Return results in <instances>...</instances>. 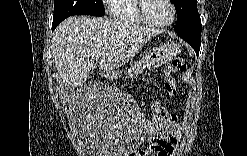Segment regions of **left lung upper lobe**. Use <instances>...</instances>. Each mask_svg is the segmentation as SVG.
<instances>
[{
    "mask_svg": "<svg viewBox=\"0 0 247 156\" xmlns=\"http://www.w3.org/2000/svg\"><path fill=\"white\" fill-rule=\"evenodd\" d=\"M173 3L177 12L175 30H184L201 22L197 10V0H173Z\"/></svg>",
    "mask_w": 247,
    "mask_h": 156,
    "instance_id": "obj_1",
    "label": "left lung upper lobe"
}]
</instances>
